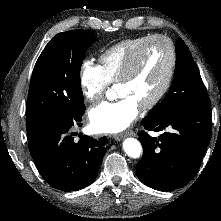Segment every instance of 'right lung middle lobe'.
Returning a JSON list of instances; mask_svg holds the SVG:
<instances>
[{
    "mask_svg": "<svg viewBox=\"0 0 221 221\" xmlns=\"http://www.w3.org/2000/svg\"><path fill=\"white\" fill-rule=\"evenodd\" d=\"M96 40L91 30H73L55 35L45 46L35 64L26 103L28 139L54 117L85 111L80 69Z\"/></svg>",
    "mask_w": 221,
    "mask_h": 221,
    "instance_id": "dd1d6c3e",
    "label": "right lung middle lobe"
}]
</instances>
